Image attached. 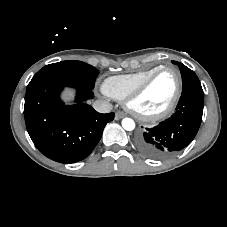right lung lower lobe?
Wrapping results in <instances>:
<instances>
[{
    "instance_id": "98d812e1",
    "label": "right lung lower lobe",
    "mask_w": 227,
    "mask_h": 227,
    "mask_svg": "<svg viewBox=\"0 0 227 227\" xmlns=\"http://www.w3.org/2000/svg\"><path fill=\"white\" fill-rule=\"evenodd\" d=\"M65 86L77 89L73 105L60 100ZM93 96L92 89L62 78L29 83L24 117L29 135L43 155L60 163H74L93 151L104 127L114 119V113H98L84 102Z\"/></svg>"
}]
</instances>
